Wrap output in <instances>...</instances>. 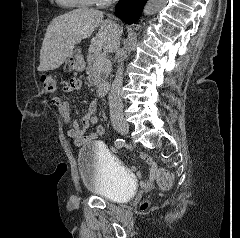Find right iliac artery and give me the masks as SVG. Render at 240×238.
<instances>
[{"label": "right iliac artery", "mask_w": 240, "mask_h": 238, "mask_svg": "<svg viewBox=\"0 0 240 238\" xmlns=\"http://www.w3.org/2000/svg\"><path fill=\"white\" fill-rule=\"evenodd\" d=\"M123 144H124V140H123V139H117V140L115 141V146H116L117 148H122V147H123Z\"/></svg>", "instance_id": "82829eb1"}]
</instances>
